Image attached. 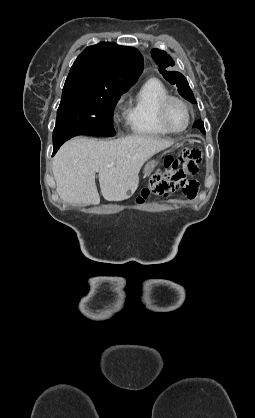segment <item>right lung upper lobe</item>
I'll return each mask as SVG.
<instances>
[{"instance_id": "obj_1", "label": "right lung upper lobe", "mask_w": 255, "mask_h": 418, "mask_svg": "<svg viewBox=\"0 0 255 418\" xmlns=\"http://www.w3.org/2000/svg\"><path fill=\"white\" fill-rule=\"evenodd\" d=\"M142 70L143 57L137 49L100 42L77 57L64 86L128 90Z\"/></svg>"}]
</instances>
